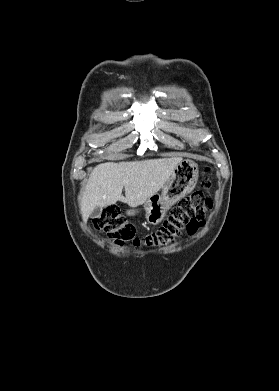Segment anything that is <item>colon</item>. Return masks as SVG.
Segmentation results:
<instances>
[{"instance_id":"colon-1","label":"colon","mask_w":279,"mask_h":391,"mask_svg":"<svg viewBox=\"0 0 279 391\" xmlns=\"http://www.w3.org/2000/svg\"><path fill=\"white\" fill-rule=\"evenodd\" d=\"M211 183L207 178L201 181L202 190L180 200L171 210L158 230L143 236L136 235L134 225L114 206L103 211L95 220L97 230L105 232L118 245L166 246L173 243L186 230L194 234L203 224L212 201L207 196Z\"/></svg>"}]
</instances>
